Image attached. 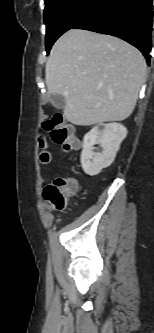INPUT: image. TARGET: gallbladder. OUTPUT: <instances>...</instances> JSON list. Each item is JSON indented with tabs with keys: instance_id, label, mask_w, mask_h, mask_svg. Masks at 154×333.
<instances>
[{
	"instance_id": "obj_1",
	"label": "gallbladder",
	"mask_w": 154,
	"mask_h": 333,
	"mask_svg": "<svg viewBox=\"0 0 154 333\" xmlns=\"http://www.w3.org/2000/svg\"><path fill=\"white\" fill-rule=\"evenodd\" d=\"M51 103L54 107L62 109L65 106V98L62 95L55 94L51 98Z\"/></svg>"
}]
</instances>
